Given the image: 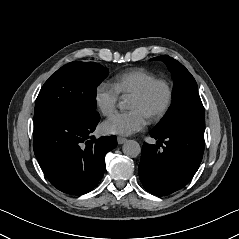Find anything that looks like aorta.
Segmentation results:
<instances>
[{
  "label": "aorta",
  "mask_w": 239,
  "mask_h": 239,
  "mask_svg": "<svg viewBox=\"0 0 239 239\" xmlns=\"http://www.w3.org/2000/svg\"><path fill=\"white\" fill-rule=\"evenodd\" d=\"M122 151L125 155L135 158L141 153V147L135 140H127L123 146Z\"/></svg>",
  "instance_id": "762f6f07"
}]
</instances>
